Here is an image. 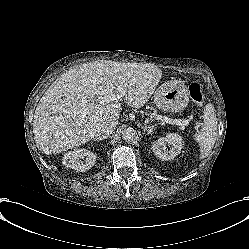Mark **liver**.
I'll return each mask as SVG.
<instances>
[{"label": "liver", "instance_id": "liver-1", "mask_svg": "<svg viewBox=\"0 0 249 249\" xmlns=\"http://www.w3.org/2000/svg\"><path fill=\"white\" fill-rule=\"evenodd\" d=\"M160 78V71L146 72L113 62L89 63L69 71L49 87L36 107L37 147L52 154L85 144L98 136L101 124L117 122L122 111L118 96L122 94L131 108H141Z\"/></svg>", "mask_w": 249, "mask_h": 249}]
</instances>
